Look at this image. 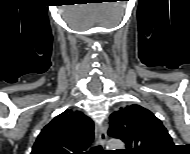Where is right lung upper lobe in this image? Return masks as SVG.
Returning <instances> with one entry per match:
<instances>
[{
	"label": "right lung upper lobe",
	"instance_id": "right-lung-upper-lobe-1",
	"mask_svg": "<svg viewBox=\"0 0 190 154\" xmlns=\"http://www.w3.org/2000/svg\"><path fill=\"white\" fill-rule=\"evenodd\" d=\"M93 138V121L80 111L67 109L42 129L31 154H83Z\"/></svg>",
	"mask_w": 190,
	"mask_h": 154
}]
</instances>
